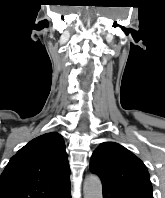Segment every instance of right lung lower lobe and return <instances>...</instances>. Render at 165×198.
Segmentation results:
<instances>
[{
    "instance_id": "1",
    "label": "right lung lower lobe",
    "mask_w": 165,
    "mask_h": 198,
    "mask_svg": "<svg viewBox=\"0 0 165 198\" xmlns=\"http://www.w3.org/2000/svg\"><path fill=\"white\" fill-rule=\"evenodd\" d=\"M62 198H71L70 191L66 195H64Z\"/></svg>"
}]
</instances>
